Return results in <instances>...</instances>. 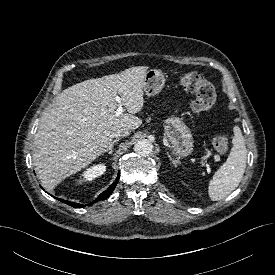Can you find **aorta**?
<instances>
[{
	"mask_svg": "<svg viewBox=\"0 0 275 275\" xmlns=\"http://www.w3.org/2000/svg\"><path fill=\"white\" fill-rule=\"evenodd\" d=\"M134 150L140 156L145 157V156H148V155H150L152 153V151H153V145L147 139L139 140L134 145Z\"/></svg>",
	"mask_w": 275,
	"mask_h": 275,
	"instance_id": "obj_1",
	"label": "aorta"
}]
</instances>
